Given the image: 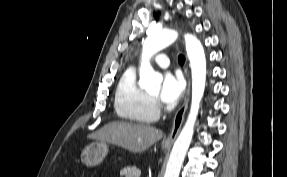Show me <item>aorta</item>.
Segmentation results:
<instances>
[{
  "label": "aorta",
  "mask_w": 287,
  "mask_h": 177,
  "mask_svg": "<svg viewBox=\"0 0 287 177\" xmlns=\"http://www.w3.org/2000/svg\"><path fill=\"white\" fill-rule=\"evenodd\" d=\"M177 37L178 33L169 29L154 31L147 37L142 49L140 67L139 85L142 89L149 91L161 84L162 76L153 70L149 59L161 49L172 44ZM184 38L192 72L191 108L187 121L172 148L164 177H179L182 163L192 141L200 102L205 90L206 58L204 48L194 35L186 34Z\"/></svg>",
  "instance_id": "762f6f07"
}]
</instances>
